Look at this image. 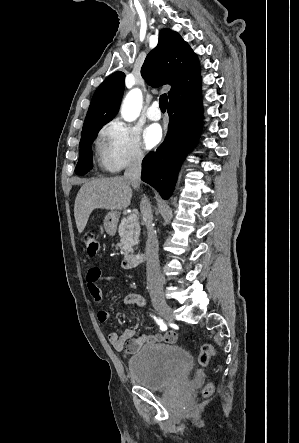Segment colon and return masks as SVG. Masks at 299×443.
Segmentation results:
<instances>
[{"instance_id":"1","label":"colon","mask_w":299,"mask_h":443,"mask_svg":"<svg viewBox=\"0 0 299 443\" xmlns=\"http://www.w3.org/2000/svg\"><path fill=\"white\" fill-rule=\"evenodd\" d=\"M83 243L85 250L89 256H95L99 252V241L94 231H86L83 234ZM214 354V348L211 344H203L200 349L198 361L201 366H206ZM213 392L211 384L204 388V395L209 396Z\"/></svg>"}]
</instances>
